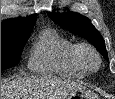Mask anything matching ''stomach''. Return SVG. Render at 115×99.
Listing matches in <instances>:
<instances>
[{"label":"stomach","instance_id":"0dacf381","mask_svg":"<svg viewBox=\"0 0 115 99\" xmlns=\"http://www.w3.org/2000/svg\"><path fill=\"white\" fill-rule=\"evenodd\" d=\"M67 99H99L98 95L95 94L93 91L82 88L73 93H70Z\"/></svg>","mask_w":115,"mask_h":99}]
</instances>
